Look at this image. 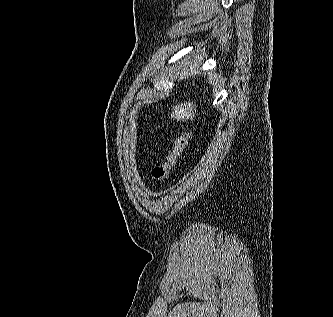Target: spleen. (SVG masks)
Here are the masks:
<instances>
[{"mask_svg":"<svg viewBox=\"0 0 333 317\" xmlns=\"http://www.w3.org/2000/svg\"><path fill=\"white\" fill-rule=\"evenodd\" d=\"M196 105L193 102L179 103L172 108L171 118H175L177 121H186L193 119L196 114Z\"/></svg>","mask_w":333,"mask_h":317,"instance_id":"spleen-1","label":"spleen"}]
</instances>
